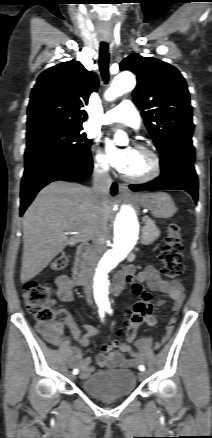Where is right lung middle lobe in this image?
Masks as SVG:
<instances>
[{"mask_svg":"<svg viewBox=\"0 0 212 438\" xmlns=\"http://www.w3.org/2000/svg\"><path fill=\"white\" fill-rule=\"evenodd\" d=\"M82 127L43 125L27 130V148H50L61 151L89 150L91 140Z\"/></svg>","mask_w":212,"mask_h":438,"instance_id":"1","label":"right lung middle lobe"}]
</instances>
